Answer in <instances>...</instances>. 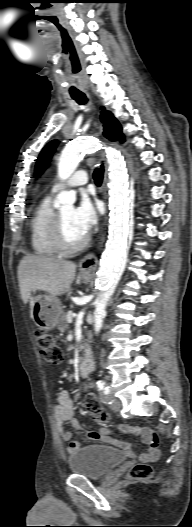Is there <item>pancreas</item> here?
I'll use <instances>...</instances> for the list:
<instances>
[{
    "instance_id": "pancreas-1",
    "label": "pancreas",
    "mask_w": 192,
    "mask_h": 527,
    "mask_svg": "<svg viewBox=\"0 0 192 527\" xmlns=\"http://www.w3.org/2000/svg\"><path fill=\"white\" fill-rule=\"evenodd\" d=\"M67 315L68 313H63L59 319L58 329L61 331H64L68 328Z\"/></svg>"
}]
</instances>
